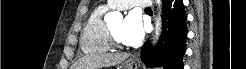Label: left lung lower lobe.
Instances as JSON below:
<instances>
[{"label":"left lung lower lobe","mask_w":246,"mask_h":69,"mask_svg":"<svg viewBox=\"0 0 246 69\" xmlns=\"http://www.w3.org/2000/svg\"><path fill=\"white\" fill-rule=\"evenodd\" d=\"M163 31L154 49L147 42L141 49V59L147 67L183 69L186 49V12L182 0H163Z\"/></svg>","instance_id":"obj_1"}]
</instances>
